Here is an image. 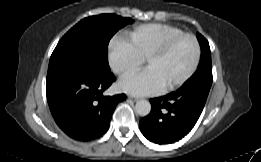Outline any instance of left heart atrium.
<instances>
[{
    "mask_svg": "<svg viewBox=\"0 0 261 162\" xmlns=\"http://www.w3.org/2000/svg\"><path fill=\"white\" fill-rule=\"evenodd\" d=\"M119 88L133 95H151L160 92L163 84L152 69L122 78L118 83Z\"/></svg>",
    "mask_w": 261,
    "mask_h": 162,
    "instance_id": "left-heart-atrium-1",
    "label": "left heart atrium"
}]
</instances>
